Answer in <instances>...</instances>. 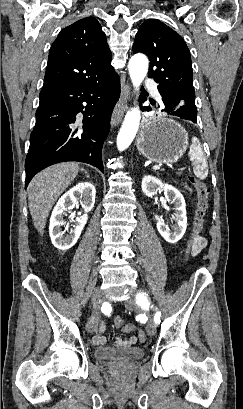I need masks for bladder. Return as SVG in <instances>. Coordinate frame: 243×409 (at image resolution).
I'll list each match as a JSON object with an SVG mask.
<instances>
[{
  "mask_svg": "<svg viewBox=\"0 0 243 409\" xmlns=\"http://www.w3.org/2000/svg\"><path fill=\"white\" fill-rule=\"evenodd\" d=\"M94 355L98 360H118L130 362L141 359L144 356V350L140 347H99L94 351Z\"/></svg>",
  "mask_w": 243,
  "mask_h": 409,
  "instance_id": "obj_1",
  "label": "bladder"
}]
</instances>
